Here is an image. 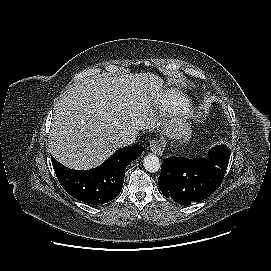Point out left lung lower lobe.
Segmentation results:
<instances>
[{
    "label": "left lung lower lobe",
    "mask_w": 271,
    "mask_h": 271,
    "mask_svg": "<svg viewBox=\"0 0 271 271\" xmlns=\"http://www.w3.org/2000/svg\"><path fill=\"white\" fill-rule=\"evenodd\" d=\"M226 166L210 158L170 157L161 165L158 184L167 198L191 205L210 196L222 183Z\"/></svg>",
    "instance_id": "obj_1"
}]
</instances>
